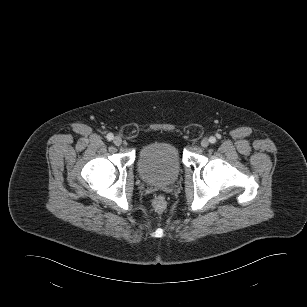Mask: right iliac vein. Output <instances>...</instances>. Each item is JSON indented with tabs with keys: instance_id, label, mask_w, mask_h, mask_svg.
<instances>
[{
	"instance_id": "obj_1",
	"label": "right iliac vein",
	"mask_w": 307,
	"mask_h": 307,
	"mask_svg": "<svg viewBox=\"0 0 307 307\" xmlns=\"http://www.w3.org/2000/svg\"><path fill=\"white\" fill-rule=\"evenodd\" d=\"M113 143L116 145V146H120L122 144V139L119 137V136H116L114 139H113Z\"/></svg>"
}]
</instances>
